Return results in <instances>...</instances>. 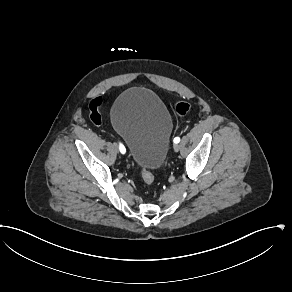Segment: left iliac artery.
Returning a JSON list of instances; mask_svg holds the SVG:
<instances>
[{"label":"left iliac artery","instance_id":"44dca946","mask_svg":"<svg viewBox=\"0 0 292 292\" xmlns=\"http://www.w3.org/2000/svg\"><path fill=\"white\" fill-rule=\"evenodd\" d=\"M173 141H174V143H179L180 142V138L179 137H175Z\"/></svg>","mask_w":292,"mask_h":292}]
</instances>
